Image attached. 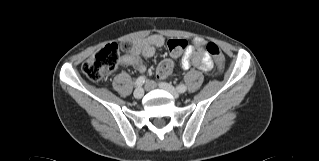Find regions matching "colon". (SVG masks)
<instances>
[{
    "mask_svg": "<svg viewBox=\"0 0 319 161\" xmlns=\"http://www.w3.org/2000/svg\"><path fill=\"white\" fill-rule=\"evenodd\" d=\"M168 50L171 54L180 53L187 47L185 41L169 40L167 43ZM128 44L118 45L117 43L108 44L92 57L87 59L83 64L84 74L92 81H101L106 79L114 71L119 63V52L129 50ZM206 51L214 58L218 69L224 70L225 59L219 46L214 42L206 44ZM171 71V64L165 61L160 64L158 74L162 75Z\"/></svg>",
    "mask_w": 319,
    "mask_h": 161,
    "instance_id": "5ec220e1",
    "label": "colon"
}]
</instances>
